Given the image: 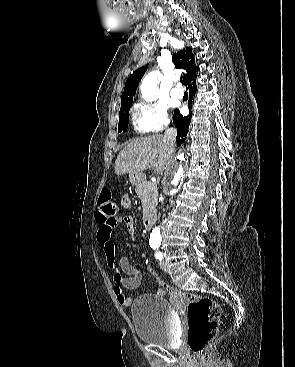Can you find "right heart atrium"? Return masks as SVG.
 Instances as JSON below:
<instances>
[{
  "label": "right heart atrium",
  "mask_w": 295,
  "mask_h": 367,
  "mask_svg": "<svg viewBox=\"0 0 295 367\" xmlns=\"http://www.w3.org/2000/svg\"><path fill=\"white\" fill-rule=\"evenodd\" d=\"M134 128L142 134L159 133L169 126L167 109L156 103H139L132 112Z\"/></svg>",
  "instance_id": "obj_1"
}]
</instances>
